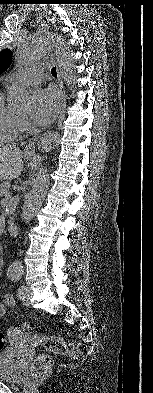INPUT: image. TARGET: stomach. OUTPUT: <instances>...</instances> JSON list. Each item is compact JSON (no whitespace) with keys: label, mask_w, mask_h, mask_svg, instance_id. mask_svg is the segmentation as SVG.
Wrapping results in <instances>:
<instances>
[{"label":"stomach","mask_w":153,"mask_h":393,"mask_svg":"<svg viewBox=\"0 0 153 393\" xmlns=\"http://www.w3.org/2000/svg\"><path fill=\"white\" fill-rule=\"evenodd\" d=\"M26 156L30 158L32 156V152H26Z\"/></svg>","instance_id":"obj_1"}]
</instances>
